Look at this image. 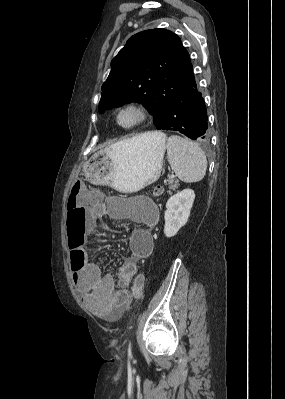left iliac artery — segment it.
<instances>
[{"instance_id":"left-iliac-artery-1","label":"left iliac artery","mask_w":285,"mask_h":399,"mask_svg":"<svg viewBox=\"0 0 285 399\" xmlns=\"http://www.w3.org/2000/svg\"><path fill=\"white\" fill-rule=\"evenodd\" d=\"M131 342H129V346H128V355L131 356Z\"/></svg>"}]
</instances>
